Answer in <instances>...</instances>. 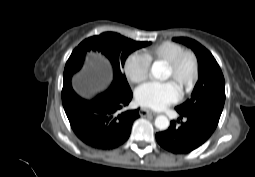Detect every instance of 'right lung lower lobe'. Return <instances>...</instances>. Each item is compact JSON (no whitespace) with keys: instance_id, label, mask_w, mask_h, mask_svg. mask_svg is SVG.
Segmentation results:
<instances>
[{"instance_id":"right-lung-lower-lobe-1","label":"right lung lower lobe","mask_w":255,"mask_h":177,"mask_svg":"<svg viewBox=\"0 0 255 177\" xmlns=\"http://www.w3.org/2000/svg\"><path fill=\"white\" fill-rule=\"evenodd\" d=\"M132 99V92H120L110 86L94 98L79 96L71 86V78H64L62 103L71 128L85 144L110 150L123 144L130 136L139 109L119 113Z\"/></svg>"}]
</instances>
